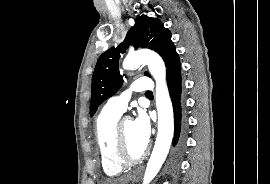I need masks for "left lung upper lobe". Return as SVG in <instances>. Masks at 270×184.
Wrapping results in <instances>:
<instances>
[{"instance_id":"obj_1","label":"left lung upper lobe","mask_w":270,"mask_h":184,"mask_svg":"<svg viewBox=\"0 0 270 184\" xmlns=\"http://www.w3.org/2000/svg\"><path fill=\"white\" fill-rule=\"evenodd\" d=\"M129 45L156 51L163 58L166 67L176 53L171 41V32L159 19L146 15L137 16L135 25L127 33L125 40L117 48H110L98 58L92 76L90 116H93L98 106L121 87L123 79L118 70V62L120 54L124 53ZM145 75L149 76L147 72Z\"/></svg>"}]
</instances>
